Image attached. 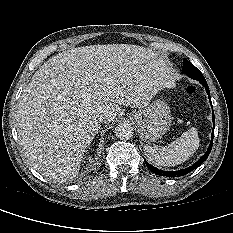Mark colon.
<instances>
[{"instance_id": "colon-1", "label": "colon", "mask_w": 233, "mask_h": 233, "mask_svg": "<svg viewBox=\"0 0 233 233\" xmlns=\"http://www.w3.org/2000/svg\"><path fill=\"white\" fill-rule=\"evenodd\" d=\"M184 91L189 96L194 97L196 95V88L193 85H187Z\"/></svg>"}]
</instances>
